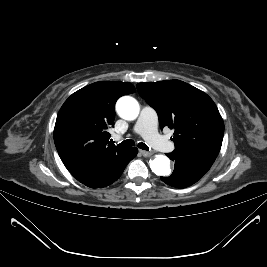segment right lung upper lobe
I'll list each match as a JSON object with an SVG mask.
<instances>
[{
  "label": "right lung upper lobe",
  "instance_id": "right-lung-upper-lobe-1",
  "mask_svg": "<svg viewBox=\"0 0 267 267\" xmlns=\"http://www.w3.org/2000/svg\"><path fill=\"white\" fill-rule=\"evenodd\" d=\"M135 91L128 82L100 81L76 91L62 105L54 142L64 165L78 181L127 151L109 142L107 129L114 125L117 99Z\"/></svg>",
  "mask_w": 267,
  "mask_h": 267
}]
</instances>
